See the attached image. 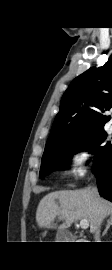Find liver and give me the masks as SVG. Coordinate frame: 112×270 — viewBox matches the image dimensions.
I'll return each mask as SVG.
<instances>
[{
  "mask_svg": "<svg viewBox=\"0 0 112 270\" xmlns=\"http://www.w3.org/2000/svg\"><path fill=\"white\" fill-rule=\"evenodd\" d=\"M112 214V203L90 189L55 191L45 195L36 210L39 228H68L77 220H87L90 232L94 233L102 220ZM63 220L58 226L56 217Z\"/></svg>",
  "mask_w": 112,
  "mask_h": 270,
  "instance_id": "6515ba94",
  "label": "liver"
}]
</instances>
